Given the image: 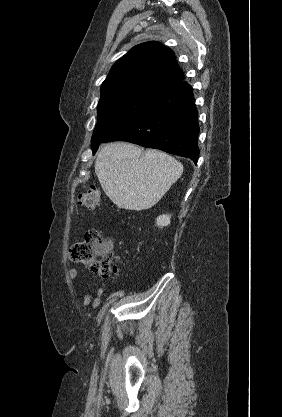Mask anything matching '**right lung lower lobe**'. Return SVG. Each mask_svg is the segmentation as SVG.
<instances>
[{
  "instance_id": "98d812e1",
  "label": "right lung lower lobe",
  "mask_w": 282,
  "mask_h": 417,
  "mask_svg": "<svg viewBox=\"0 0 282 417\" xmlns=\"http://www.w3.org/2000/svg\"><path fill=\"white\" fill-rule=\"evenodd\" d=\"M197 115L192 89L182 80L161 91L138 114L108 135L103 143L128 141L191 158L197 163Z\"/></svg>"
}]
</instances>
